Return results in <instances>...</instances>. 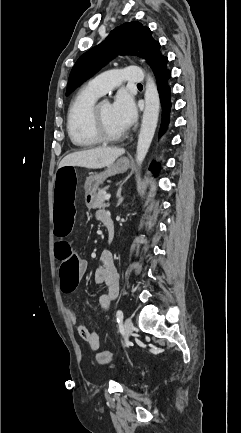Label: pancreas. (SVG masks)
Masks as SVG:
<instances>
[{"mask_svg":"<svg viewBox=\"0 0 241 433\" xmlns=\"http://www.w3.org/2000/svg\"><path fill=\"white\" fill-rule=\"evenodd\" d=\"M105 196H106V189L99 190L98 193L96 194L92 207L94 209L109 207V203H105Z\"/></svg>","mask_w":241,"mask_h":433,"instance_id":"obj_1","label":"pancreas"}]
</instances>
